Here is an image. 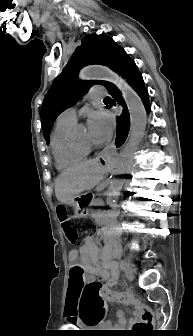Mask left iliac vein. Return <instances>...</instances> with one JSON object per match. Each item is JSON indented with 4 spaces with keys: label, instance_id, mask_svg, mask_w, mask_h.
<instances>
[{
    "label": "left iliac vein",
    "instance_id": "4c4485c4",
    "mask_svg": "<svg viewBox=\"0 0 193 336\" xmlns=\"http://www.w3.org/2000/svg\"><path fill=\"white\" fill-rule=\"evenodd\" d=\"M120 266L123 269L126 278L132 281L134 279V272L131 265L126 260H121Z\"/></svg>",
    "mask_w": 193,
    "mask_h": 336
}]
</instances>
